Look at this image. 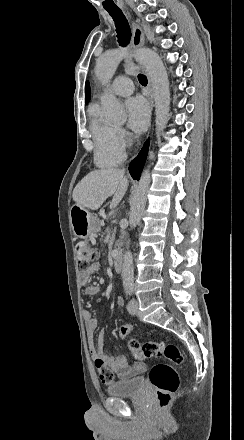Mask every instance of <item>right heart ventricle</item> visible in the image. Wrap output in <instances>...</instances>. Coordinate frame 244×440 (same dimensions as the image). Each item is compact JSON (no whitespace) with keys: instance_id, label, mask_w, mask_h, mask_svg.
I'll list each match as a JSON object with an SVG mask.
<instances>
[{"instance_id":"right-heart-ventricle-1","label":"right heart ventricle","mask_w":244,"mask_h":440,"mask_svg":"<svg viewBox=\"0 0 244 440\" xmlns=\"http://www.w3.org/2000/svg\"><path fill=\"white\" fill-rule=\"evenodd\" d=\"M89 134L93 136L95 144L94 160L100 168H112L124 160L122 149H109L107 142L113 136V128L102 122L100 106L93 102L88 107Z\"/></svg>"}]
</instances>
